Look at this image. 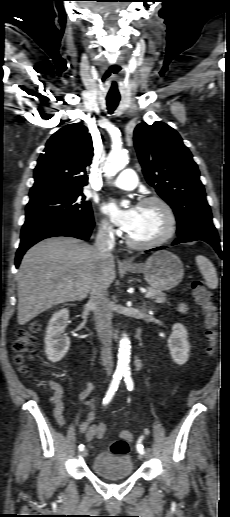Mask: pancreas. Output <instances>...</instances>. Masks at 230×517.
Listing matches in <instances>:
<instances>
[{
  "instance_id": "1",
  "label": "pancreas",
  "mask_w": 230,
  "mask_h": 517,
  "mask_svg": "<svg viewBox=\"0 0 230 517\" xmlns=\"http://www.w3.org/2000/svg\"><path fill=\"white\" fill-rule=\"evenodd\" d=\"M148 291L153 292L152 298L156 300L158 303H164L166 302V294L163 293L161 290L154 289L152 287L148 288Z\"/></svg>"
}]
</instances>
